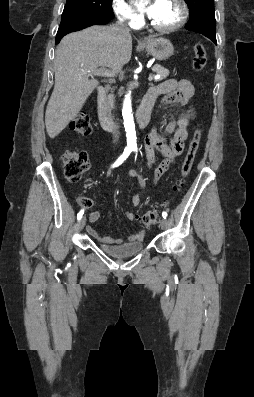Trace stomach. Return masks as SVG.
I'll use <instances>...</instances> for the list:
<instances>
[{
  "label": "stomach",
  "instance_id": "stomach-1",
  "mask_svg": "<svg viewBox=\"0 0 254 397\" xmlns=\"http://www.w3.org/2000/svg\"><path fill=\"white\" fill-rule=\"evenodd\" d=\"M142 46L159 61L168 59L174 53L172 43L164 37H150Z\"/></svg>",
  "mask_w": 254,
  "mask_h": 397
}]
</instances>
